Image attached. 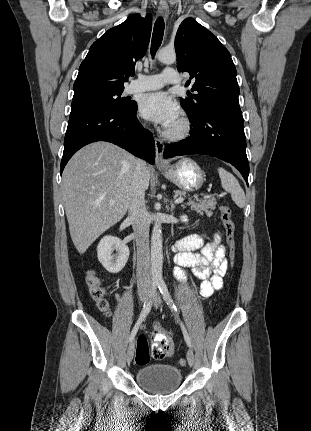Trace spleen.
<instances>
[{"mask_svg": "<svg viewBox=\"0 0 311 431\" xmlns=\"http://www.w3.org/2000/svg\"><path fill=\"white\" fill-rule=\"evenodd\" d=\"M218 174L223 190L231 194V198L238 208H244L246 206V198L242 188L239 186L238 180L234 178L233 174L226 172L224 168H218Z\"/></svg>", "mask_w": 311, "mask_h": 431, "instance_id": "obj_1", "label": "spleen"}]
</instances>
